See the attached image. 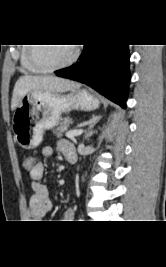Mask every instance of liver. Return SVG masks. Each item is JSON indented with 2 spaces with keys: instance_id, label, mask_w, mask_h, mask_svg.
<instances>
[{
  "instance_id": "1",
  "label": "liver",
  "mask_w": 166,
  "mask_h": 267,
  "mask_svg": "<svg viewBox=\"0 0 166 267\" xmlns=\"http://www.w3.org/2000/svg\"><path fill=\"white\" fill-rule=\"evenodd\" d=\"M80 84L56 76L24 75L15 83L11 110L14 111L25 95L31 92L63 93L78 89Z\"/></svg>"
}]
</instances>
